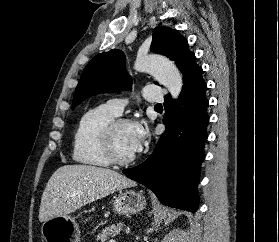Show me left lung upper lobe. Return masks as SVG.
Listing matches in <instances>:
<instances>
[{"label": "left lung upper lobe", "instance_id": "obj_1", "mask_svg": "<svg viewBox=\"0 0 279 242\" xmlns=\"http://www.w3.org/2000/svg\"><path fill=\"white\" fill-rule=\"evenodd\" d=\"M150 50L174 60L181 72L187 59L193 55L187 40L177 30L165 26L154 29ZM124 66L125 57L120 50L113 49L96 55L82 72L74 93L72 109L93 94L129 89L132 79L126 76Z\"/></svg>", "mask_w": 279, "mask_h": 242}]
</instances>
